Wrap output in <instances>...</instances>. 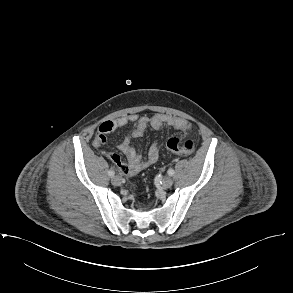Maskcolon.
<instances>
[{
    "label": "colon",
    "instance_id": "1",
    "mask_svg": "<svg viewBox=\"0 0 293 293\" xmlns=\"http://www.w3.org/2000/svg\"><path fill=\"white\" fill-rule=\"evenodd\" d=\"M169 152L178 155H190L196 148V140L192 137L172 136L166 143Z\"/></svg>",
    "mask_w": 293,
    "mask_h": 293
}]
</instances>
